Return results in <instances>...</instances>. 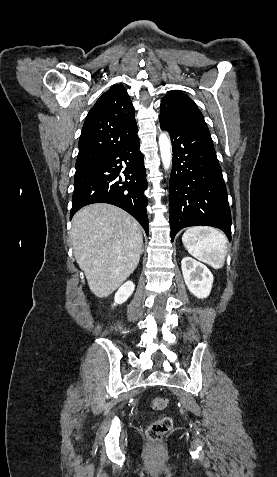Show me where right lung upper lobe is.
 Segmentation results:
<instances>
[{
    "instance_id": "right-lung-upper-lobe-1",
    "label": "right lung upper lobe",
    "mask_w": 277,
    "mask_h": 477,
    "mask_svg": "<svg viewBox=\"0 0 277 477\" xmlns=\"http://www.w3.org/2000/svg\"><path fill=\"white\" fill-rule=\"evenodd\" d=\"M137 135L134 107L125 88L112 86L89 111L79 139L76 168L125 144Z\"/></svg>"
}]
</instances>
